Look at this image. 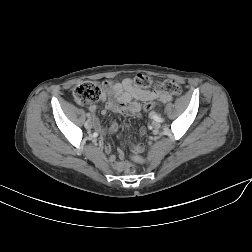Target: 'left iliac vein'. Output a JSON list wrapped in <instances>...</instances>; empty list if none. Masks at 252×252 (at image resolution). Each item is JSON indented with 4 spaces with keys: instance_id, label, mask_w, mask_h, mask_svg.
Returning <instances> with one entry per match:
<instances>
[{
    "instance_id": "obj_1",
    "label": "left iliac vein",
    "mask_w": 252,
    "mask_h": 252,
    "mask_svg": "<svg viewBox=\"0 0 252 252\" xmlns=\"http://www.w3.org/2000/svg\"><path fill=\"white\" fill-rule=\"evenodd\" d=\"M160 123L158 122V121H153L152 122V127L154 128V129H159L160 128Z\"/></svg>"
}]
</instances>
